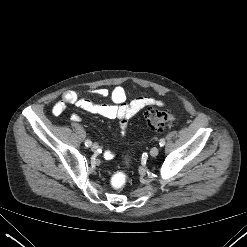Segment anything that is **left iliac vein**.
I'll return each mask as SVG.
<instances>
[{"label":"left iliac vein","mask_w":247,"mask_h":247,"mask_svg":"<svg viewBox=\"0 0 247 247\" xmlns=\"http://www.w3.org/2000/svg\"><path fill=\"white\" fill-rule=\"evenodd\" d=\"M158 153H159L158 147H153V148L150 150V155L153 156V157L157 156Z\"/></svg>","instance_id":"1"}]
</instances>
